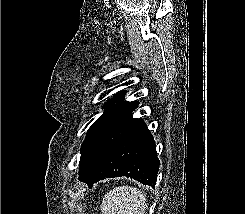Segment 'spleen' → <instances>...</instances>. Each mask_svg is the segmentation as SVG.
<instances>
[{
	"mask_svg": "<svg viewBox=\"0 0 245 214\" xmlns=\"http://www.w3.org/2000/svg\"><path fill=\"white\" fill-rule=\"evenodd\" d=\"M146 197L136 187H116L105 194L100 206L103 214H144Z\"/></svg>",
	"mask_w": 245,
	"mask_h": 214,
	"instance_id": "spleen-1",
	"label": "spleen"
}]
</instances>
